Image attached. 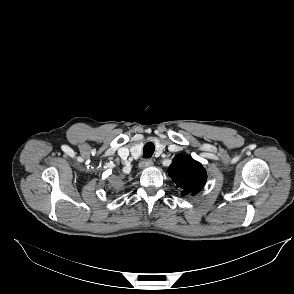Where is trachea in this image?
<instances>
[{"label": "trachea", "instance_id": "1", "mask_svg": "<svg viewBox=\"0 0 294 294\" xmlns=\"http://www.w3.org/2000/svg\"><path fill=\"white\" fill-rule=\"evenodd\" d=\"M155 151V145L153 143H146L143 148V157L150 158Z\"/></svg>", "mask_w": 294, "mask_h": 294}]
</instances>
